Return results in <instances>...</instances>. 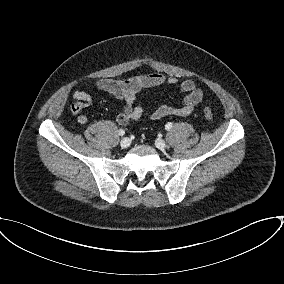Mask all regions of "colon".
Instances as JSON below:
<instances>
[{
  "label": "colon",
  "instance_id": "1",
  "mask_svg": "<svg viewBox=\"0 0 284 284\" xmlns=\"http://www.w3.org/2000/svg\"><path fill=\"white\" fill-rule=\"evenodd\" d=\"M204 115H205L206 119H208V120L213 119V112H212L210 107L206 106L204 108Z\"/></svg>",
  "mask_w": 284,
  "mask_h": 284
}]
</instances>
